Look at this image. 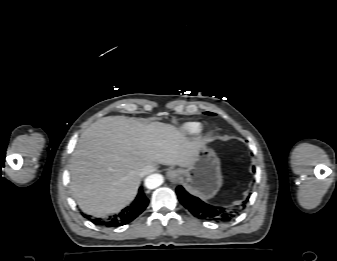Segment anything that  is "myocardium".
I'll return each mask as SVG.
<instances>
[{
  "mask_svg": "<svg viewBox=\"0 0 337 261\" xmlns=\"http://www.w3.org/2000/svg\"><path fill=\"white\" fill-rule=\"evenodd\" d=\"M212 135H213V133H212V132H209V133L207 134V137H208V138H211Z\"/></svg>",
  "mask_w": 337,
  "mask_h": 261,
  "instance_id": "myocardium-1",
  "label": "myocardium"
}]
</instances>
